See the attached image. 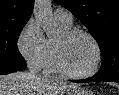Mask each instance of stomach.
<instances>
[{"label":"stomach","instance_id":"obj_1","mask_svg":"<svg viewBox=\"0 0 119 95\" xmlns=\"http://www.w3.org/2000/svg\"><path fill=\"white\" fill-rule=\"evenodd\" d=\"M66 95H94L90 90L83 87L71 89Z\"/></svg>","mask_w":119,"mask_h":95}]
</instances>
